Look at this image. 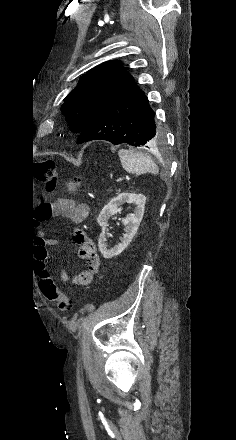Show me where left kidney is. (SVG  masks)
Listing matches in <instances>:
<instances>
[{
  "mask_svg": "<svg viewBox=\"0 0 236 440\" xmlns=\"http://www.w3.org/2000/svg\"><path fill=\"white\" fill-rule=\"evenodd\" d=\"M124 203L134 204V212L122 219V224L125 226V234H123L120 243L113 248L108 249L106 243V228L108 226V220L112 215L118 213L120 206ZM145 203L146 197L143 194L121 193L111 199L110 202L103 207L98 215L97 222L102 228V232L98 239V246L104 258L109 259L119 255L129 245L142 221Z\"/></svg>",
  "mask_w": 236,
  "mask_h": 440,
  "instance_id": "1",
  "label": "left kidney"
}]
</instances>
